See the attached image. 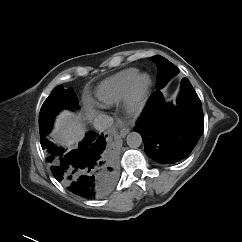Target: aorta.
Wrapping results in <instances>:
<instances>
[{
  "label": "aorta",
  "instance_id": "aorta-1",
  "mask_svg": "<svg viewBox=\"0 0 242 242\" xmlns=\"http://www.w3.org/2000/svg\"><path fill=\"white\" fill-rule=\"evenodd\" d=\"M126 142L130 148H138L142 144V137L138 132H130L127 135Z\"/></svg>",
  "mask_w": 242,
  "mask_h": 242
}]
</instances>
